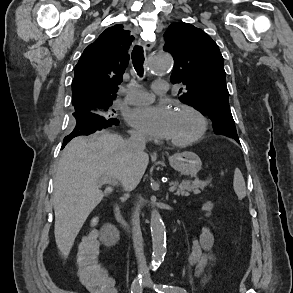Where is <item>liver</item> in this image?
Returning a JSON list of instances; mask_svg holds the SVG:
<instances>
[{
  "label": "liver",
  "mask_w": 293,
  "mask_h": 293,
  "mask_svg": "<svg viewBox=\"0 0 293 293\" xmlns=\"http://www.w3.org/2000/svg\"><path fill=\"white\" fill-rule=\"evenodd\" d=\"M149 163L146 153H133L127 141L106 131L89 138L72 139L64 148L54 181L55 240L58 249L68 256L76 236L92 210L104 196L113 192L107 186L102 192L103 176L138 183Z\"/></svg>",
  "instance_id": "obj_1"
}]
</instances>
